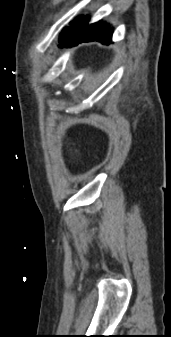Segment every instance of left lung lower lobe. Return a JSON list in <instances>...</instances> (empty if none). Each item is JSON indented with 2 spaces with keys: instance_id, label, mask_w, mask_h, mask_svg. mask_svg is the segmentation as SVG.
<instances>
[{
  "instance_id": "1",
  "label": "left lung lower lobe",
  "mask_w": 171,
  "mask_h": 337,
  "mask_svg": "<svg viewBox=\"0 0 171 337\" xmlns=\"http://www.w3.org/2000/svg\"><path fill=\"white\" fill-rule=\"evenodd\" d=\"M88 21V17H81L73 31L60 41V46L71 47L72 44L76 45L90 41H99L103 44H109L112 39L113 27L103 21L88 25Z\"/></svg>"
}]
</instances>
